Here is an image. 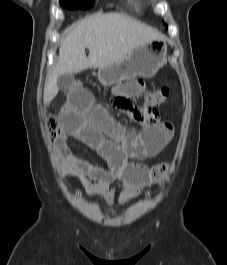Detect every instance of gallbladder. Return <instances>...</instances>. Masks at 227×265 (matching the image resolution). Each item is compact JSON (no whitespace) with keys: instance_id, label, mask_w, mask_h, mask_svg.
<instances>
[{"instance_id":"bac80fb5","label":"gallbladder","mask_w":227,"mask_h":265,"mask_svg":"<svg viewBox=\"0 0 227 265\" xmlns=\"http://www.w3.org/2000/svg\"><path fill=\"white\" fill-rule=\"evenodd\" d=\"M74 83V75L71 73H66L63 75H59L57 78L58 88L61 90H67Z\"/></svg>"}]
</instances>
